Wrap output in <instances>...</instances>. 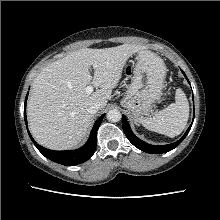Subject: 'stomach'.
Here are the masks:
<instances>
[{"mask_svg":"<svg viewBox=\"0 0 220 220\" xmlns=\"http://www.w3.org/2000/svg\"><path fill=\"white\" fill-rule=\"evenodd\" d=\"M166 67L163 60L148 50L138 52L134 78L121 101L134 118L151 112L153 104L162 96Z\"/></svg>","mask_w":220,"mask_h":220,"instance_id":"1","label":"stomach"}]
</instances>
